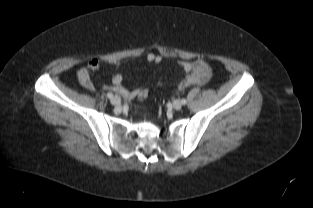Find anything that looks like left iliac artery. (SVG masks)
I'll return each mask as SVG.
<instances>
[{
	"mask_svg": "<svg viewBox=\"0 0 313 208\" xmlns=\"http://www.w3.org/2000/svg\"><path fill=\"white\" fill-rule=\"evenodd\" d=\"M181 103H182L183 105H185V104L187 103L186 99H182V100H181Z\"/></svg>",
	"mask_w": 313,
	"mask_h": 208,
	"instance_id": "left-iliac-artery-1",
	"label": "left iliac artery"
}]
</instances>
